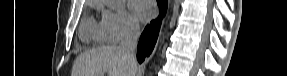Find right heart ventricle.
Masks as SVG:
<instances>
[{
	"label": "right heart ventricle",
	"mask_w": 287,
	"mask_h": 76,
	"mask_svg": "<svg viewBox=\"0 0 287 76\" xmlns=\"http://www.w3.org/2000/svg\"><path fill=\"white\" fill-rule=\"evenodd\" d=\"M80 36L85 42L103 43L107 41L101 25H97L92 18L85 20L82 24Z\"/></svg>",
	"instance_id": "obj_1"
}]
</instances>
